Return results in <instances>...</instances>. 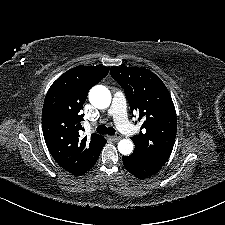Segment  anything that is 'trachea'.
Listing matches in <instances>:
<instances>
[{"label":"trachea","mask_w":225,"mask_h":225,"mask_svg":"<svg viewBox=\"0 0 225 225\" xmlns=\"http://www.w3.org/2000/svg\"><path fill=\"white\" fill-rule=\"evenodd\" d=\"M96 132L99 134H108V135H114L116 133V130L113 127H106L105 125H99L96 128Z\"/></svg>","instance_id":"obj_1"}]
</instances>
